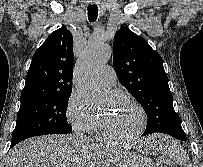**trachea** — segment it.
<instances>
[{
  "mask_svg": "<svg viewBox=\"0 0 203 167\" xmlns=\"http://www.w3.org/2000/svg\"><path fill=\"white\" fill-rule=\"evenodd\" d=\"M87 10H88V19H89V21L91 23L95 22L96 19H97V16H98V7H97V5H89Z\"/></svg>",
  "mask_w": 203,
  "mask_h": 167,
  "instance_id": "1",
  "label": "trachea"
}]
</instances>
